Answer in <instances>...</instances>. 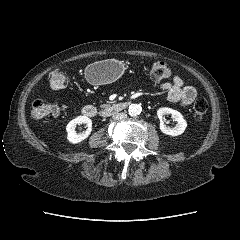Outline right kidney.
<instances>
[{
	"mask_svg": "<svg viewBox=\"0 0 240 240\" xmlns=\"http://www.w3.org/2000/svg\"><path fill=\"white\" fill-rule=\"evenodd\" d=\"M86 124L87 129L82 133H77L75 128L76 125ZM92 130V121L89 117L81 115L74 118L66 126L67 139L69 142L76 144L85 140L91 133Z\"/></svg>",
	"mask_w": 240,
	"mask_h": 240,
	"instance_id": "right-kidney-1",
	"label": "right kidney"
}]
</instances>
